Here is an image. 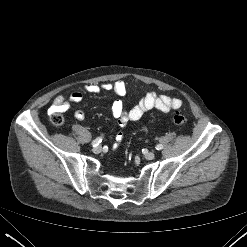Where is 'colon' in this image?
<instances>
[{"label": "colon", "mask_w": 247, "mask_h": 247, "mask_svg": "<svg viewBox=\"0 0 247 247\" xmlns=\"http://www.w3.org/2000/svg\"><path fill=\"white\" fill-rule=\"evenodd\" d=\"M173 123L176 126H183L186 123V118L182 113H175L173 118H172ZM51 122L55 125V126H61L64 123V116L61 112L56 111L54 113L51 114ZM119 140L118 142L120 143L123 139V137L121 135H119L117 137Z\"/></svg>", "instance_id": "colon-1"}]
</instances>
